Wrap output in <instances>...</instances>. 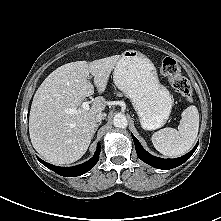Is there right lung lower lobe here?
<instances>
[{
    "instance_id": "98d812e1",
    "label": "right lung lower lobe",
    "mask_w": 221,
    "mask_h": 221,
    "mask_svg": "<svg viewBox=\"0 0 221 221\" xmlns=\"http://www.w3.org/2000/svg\"><path fill=\"white\" fill-rule=\"evenodd\" d=\"M99 154H100V145L97 146L96 152L90 160L74 167H58L51 165L38 157L37 158L43 165H45L47 168L51 169L52 171L56 172L61 176L75 177V176H80L88 172L90 169H92L99 160Z\"/></svg>"
}]
</instances>
